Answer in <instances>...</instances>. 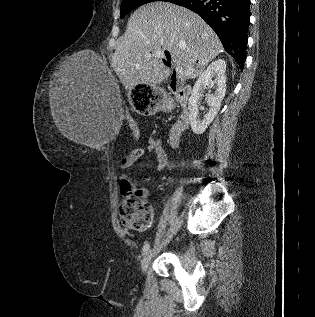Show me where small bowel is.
Segmentation results:
<instances>
[{
    "mask_svg": "<svg viewBox=\"0 0 315 317\" xmlns=\"http://www.w3.org/2000/svg\"><path fill=\"white\" fill-rule=\"evenodd\" d=\"M148 151L156 158L157 166L156 170L161 171L168 165V155L163 147L161 141L154 137H149L147 139ZM145 153L143 147H133L129 154L123 158L120 169H121V179H120V189L121 184L125 180H129V175L127 173L128 169L131 168ZM147 194V191H144Z\"/></svg>",
    "mask_w": 315,
    "mask_h": 317,
    "instance_id": "1",
    "label": "small bowel"
}]
</instances>
